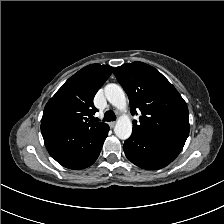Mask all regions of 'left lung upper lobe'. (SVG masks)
I'll return each mask as SVG.
<instances>
[{"label":"left lung upper lobe","instance_id":"left-lung-upper-lobe-1","mask_svg":"<svg viewBox=\"0 0 224 224\" xmlns=\"http://www.w3.org/2000/svg\"><path fill=\"white\" fill-rule=\"evenodd\" d=\"M114 74L129 97L131 113L142 112L140 123L133 121V131L185 144L189 134L187 104L158 70L133 62L117 67Z\"/></svg>","mask_w":224,"mask_h":224}]
</instances>
